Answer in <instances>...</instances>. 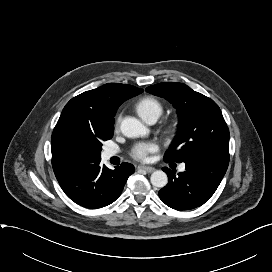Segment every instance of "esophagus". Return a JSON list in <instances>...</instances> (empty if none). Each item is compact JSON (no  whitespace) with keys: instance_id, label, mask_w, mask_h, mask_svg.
Returning a JSON list of instances; mask_svg holds the SVG:
<instances>
[{"instance_id":"obj_1","label":"esophagus","mask_w":272,"mask_h":272,"mask_svg":"<svg viewBox=\"0 0 272 272\" xmlns=\"http://www.w3.org/2000/svg\"><path fill=\"white\" fill-rule=\"evenodd\" d=\"M138 169H139V170H144V171L147 172V173H152V172L155 171V168L150 167V166H144V165H140V166L138 167Z\"/></svg>"}]
</instances>
